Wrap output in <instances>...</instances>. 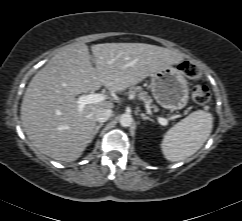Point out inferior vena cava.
Listing matches in <instances>:
<instances>
[{
    "label": "inferior vena cava",
    "instance_id": "1",
    "mask_svg": "<svg viewBox=\"0 0 242 221\" xmlns=\"http://www.w3.org/2000/svg\"><path fill=\"white\" fill-rule=\"evenodd\" d=\"M112 115V110L104 107L97 108L95 111L96 121L103 123L107 121Z\"/></svg>",
    "mask_w": 242,
    "mask_h": 221
}]
</instances>
